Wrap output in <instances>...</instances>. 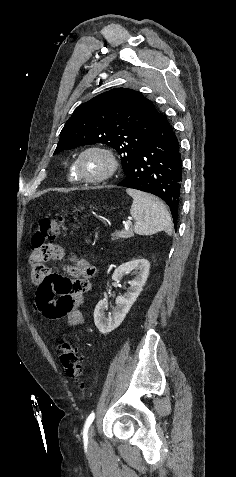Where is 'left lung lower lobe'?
Instances as JSON below:
<instances>
[{
	"label": "left lung lower lobe",
	"instance_id": "left-lung-lower-lobe-1",
	"mask_svg": "<svg viewBox=\"0 0 236 477\" xmlns=\"http://www.w3.org/2000/svg\"><path fill=\"white\" fill-rule=\"evenodd\" d=\"M118 185L163 199L171 210L176 228L182 187V160L178 139L165 115H162L148 141L133 156L125 178Z\"/></svg>",
	"mask_w": 236,
	"mask_h": 477
}]
</instances>
